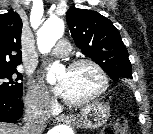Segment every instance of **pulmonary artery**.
I'll return each instance as SVG.
<instances>
[{
	"mask_svg": "<svg viewBox=\"0 0 153 134\" xmlns=\"http://www.w3.org/2000/svg\"><path fill=\"white\" fill-rule=\"evenodd\" d=\"M70 50V43L67 40L61 39L52 50V54L57 57H62L68 55Z\"/></svg>",
	"mask_w": 153,
	"mask_h": 134,
	"instance_id": "e3ab8cb5",
	"label": "pulmonary artery"
}]
</instances>
